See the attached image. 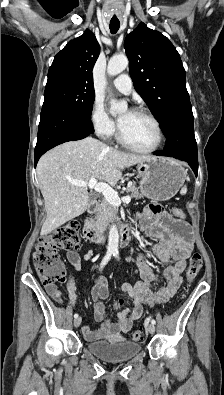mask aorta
<instances>
[{"mask_svg":"<svg viewBox=\"0 0 224 395\" xmlns=\"http://www.w3.org/2000/svg\"><path fill=\"white\" fill-rule=\"evenodd\" d=\"M129 64L128 58L124 55L113 56L107 66V73L110 76H116L124 71ZM111 110L113 114L125 112L127 110L126 102H115L111 103ZM119 245V233L116 225H112L109 230L108 236V251L116 253L118 252Z\"/></svg>","mask_w":224,"mask_h":395,"instance_id":"obj_1","label":"aorta"}]
</instances>
